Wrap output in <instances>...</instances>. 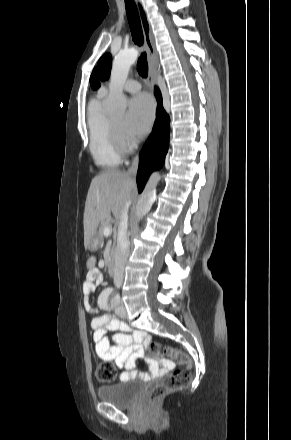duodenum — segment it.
Instances as JSON below:
<instances>
[{"label":"duodenum","mask_w":291,"mask_h":440,"mask_svg":"<svg viewBox=\"0 0 291 440\" xmlns=\"http://www.w3.org/2000/svg\"><path fill=\"white\" fill-rule=\"evenodd\" d=\"M108 272L110 275H114L116 268L115 252L112 251L107 257Z\"/></svg>","instance_id":"410a0bca"}]
</instances>
